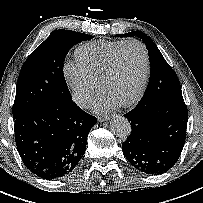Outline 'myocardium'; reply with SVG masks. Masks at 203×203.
<instances>
[{"label":"myocardium","instance_id":"myocardium-1","mask_svg":"<svg viewBox=\"0 0 203 203\" xmlns=\"http://www.w3.org/2000/svg\"><path fill=\"white\" fill-rule=\"evenodd\" d=\"M128 45H137L142 50V53L144 56V73H143V77H142V80H141V83H140V86H139L137 92L129 100L121 103V105L124 107H128V106L135 104L142 97V95L144 94V91L146 89L148 80H149L150 56H149V52H148L146 46L144 45V43H142L141 41H139L137 39H130V40L124 41L114 51V53L110 57L109 61L105 65V67L100 75V78H99V89L102 91L104 84L106 83V81L108 80V78L111 76V74L114 72V70L116 68V65H117V62H118V59H119V56H120L122 50Z\"/></svg>","mask_w":203,"mask_h":203}]
</instances>
